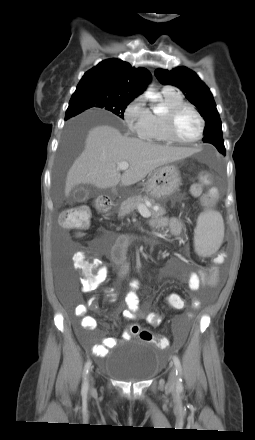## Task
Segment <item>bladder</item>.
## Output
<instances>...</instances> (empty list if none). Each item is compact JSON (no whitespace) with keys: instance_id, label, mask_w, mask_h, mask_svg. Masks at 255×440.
I'll return each instance as SVG.
<instances>
[{"instance_id":"obj_1","label":"bladder","mask_w":255,"mask_h":440,"mask_svg":"<svg viewBox=\"0 0 255 440\" xmlns=\"http://www.w3.org/2000/svg\"><path fill=\"white\" fill-rule=\"evenodd\" d=\"M121 353L112 357L107 375L130 383H140L154 378L160 365L159 347L147 342L118 346Z\"/></svg>"}]
</instances>
